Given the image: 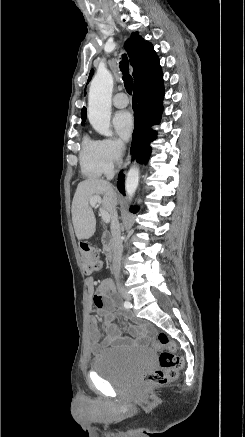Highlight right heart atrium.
<instances>
[{
  "instance_id": "d8ad5b80",
  "label": "right heart atrium",
  "mask_w": 245,
  "mask_h": 437,
  "mask_svg": "<svg viewBox=\"0 0 245 437\" xmlns=\"http://www.w3.org/2000/svg\"><path fill=\"white\" fill-rule=\"evenodd\" d=\"M99 156L106 175L111 174L124 156V144L115 138H104L98 141Z\"/></svg>"
}]
</instances>
